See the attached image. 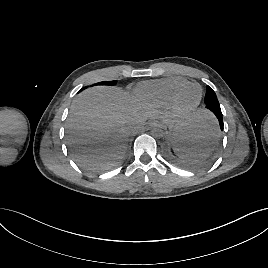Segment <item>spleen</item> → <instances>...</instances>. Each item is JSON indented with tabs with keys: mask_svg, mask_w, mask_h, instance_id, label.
Wrapping results in <instances>:
<instances>
[{
	"mask_svg": "<svg viewBox=\"0 0 268 268\" xmlns=\"http://www.w3.org/2000/svg\"><path fill=\"white\" fill-rule=\"evenodd\" d=\"M214 115L204 113L197 117L188 139L189 147L174 148L175 152L183 159L203 158L215 152L216 141L221 136Z\"/></svg>",
	"mask_w": 268,
	"mask_h": 268,
	"instance_id": "3e777b00",
	"label": "spleen"
}]
</instances>
